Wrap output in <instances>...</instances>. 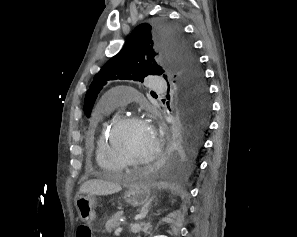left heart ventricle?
Masks as SVG:
<instances>
[{
	"mask_svg": "<svg viewBox=\"0 0 297 237\" xmlns=\"http://www.w3.org/2000/svg\"><path fill=\"white\" fill-rule=\"evenodd\" d=\"M123 151L135 160L145 159L155 148L156 137L147 123H131L118 136Z\"/></svg>",
	"mask_w": 297,
	"mask_h": 237,
	"instance_id": "obj_1",
	"label": "left heart ventricle"
}]
</instances>
